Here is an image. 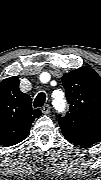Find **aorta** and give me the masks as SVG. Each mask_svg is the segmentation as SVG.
I'll return each mask as SVG.
<instances>
[{"label": "aorta", "mask_w": 101, "mask_h": 180, "mask_svg": "<svg viewBox=\"0 0 101 180\" xmlns=\"http://www.w3.org/2000/svg\"><path fill=\"white\" fill-rule=\"evenodd\" d=\"M61 103H62V102H61L60 100L56 101V104H57L58 107L61 106V105H60Z\"/></svg>", "instance_id": "obj_1"}]
</instances>
